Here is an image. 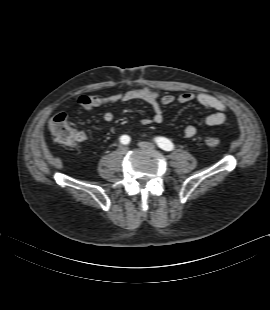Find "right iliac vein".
<instances>
[{
    "mask_svg": "<svg viewBox=\"0 0 270 310\" xmlns=\"http://www.w3.org/2000/svg\"><path fill=\"white\" fill-rule=\"evenodd\" d=\"M119 150H120V152H121L122 154H126V153L128 152V147H127V146H121V147L119 148Z\"/></svg>",
    "mask_w": 270,
    "mask_h": 310,
    "instance_id": "right-iliac-vein-1",
    "label": "right iliac vein"
}]
</instances>
